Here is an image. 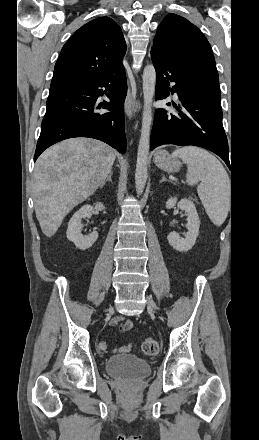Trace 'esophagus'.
<instances>
[{"label":"esophagus","instance_id":"obj_1","mask_svg":"<svg viewBox=\"0 0 259 440\" xmlns=\"http://www.w3.org/2000/svg\"><path fill=\"white\" fill-rule=\"evenodd\" d=\"M140 109L139 99L133 95L132 90L129 88L126 100H125V112L129 119H132L136 116L137 112Z\"/></svg>","mask_w":259,"mask_h":440}]
</instances>
